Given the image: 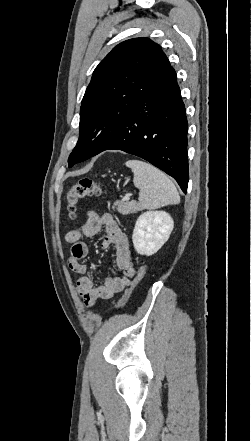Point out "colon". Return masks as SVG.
Returning <instances> with one entry per match:
<instances>
[{"mask_svg": "<svg viewBox=\"0 0 251 441\" xmlns=\"http://www.w3.org/2000/svg\"><path fill=\"white\" fill-rule=\"evenodd\" d=\"M102 193L101 186L91 178L84 177L72 186L66 193V209L70 218H74L78 202L86 197L99 196ZM146 267L142 266L135 278L129 281L127 288L118 302V309H122L127 304L131 293L140 279L145 275Z\"/></svg>", "mask_w": 251, "mask_h": 441, "instance_id": "colon-1", "label": "colon"}]
</instances>
